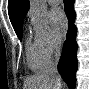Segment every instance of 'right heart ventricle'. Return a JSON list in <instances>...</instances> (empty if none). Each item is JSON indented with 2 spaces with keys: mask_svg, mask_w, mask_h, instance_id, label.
I'll return each instance as SVG.
<instances>
[{
  "mask_svg": "<svg viewBox=\"0 0 89 89\" xmlns=\"http://www.w3.org/2000/svg\"><path fill=\"white\" fill-rule=\"evenodd\" d=\"M26 58L29 68L35 72L45 71L50 66V61L41 56L35 42L31 40L26 44Z\"/></svg>",
  "mask_w": 89,
  "mask_h": 89,
  "instance_id": "e07e8e85",
  "label": "right heart ventricle"
}]
</instances>
